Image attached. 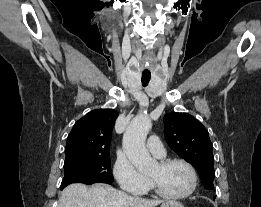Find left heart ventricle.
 <instances>
[{
	"label": "left heart ventricle",
	"instance_id": "b2bd125f",
	"mask_svg": "<svg viewBox=\"0 0 261 207\" xmlns=\"http://www.w3.org/2000/svg\"><path fill=\"white\" fill-rule=\"evenodd\" d=\"M148 176L165 192L180 194L185 192L191 182L187 168L181 164H171L165 167L155 164Z\"/></svg>",
	"mask_w": 261,
	"mask_h": 207
}]
</instances>
